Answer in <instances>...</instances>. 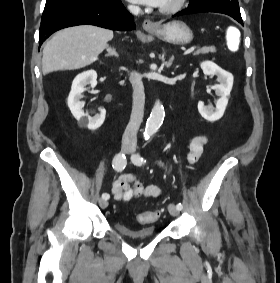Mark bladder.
<instances>
[{
    "mask_svg": "<svg viewBox=\"0 0 280 283\" xmlns=\"http://www.w3.org/2000/svg\"><path fill=\"white\" fill-rule=\"evenodd\" d=\"M114 229L119 235L131 240H144L155 236V227L153 225H145L139 229H131L122 222H116Z\"/></svg>",
    "mask_w": 280,
    "mask_h": 283,
    "instance_id": "31cf9c89",
    "label": "bladder"
}]
</instances>
